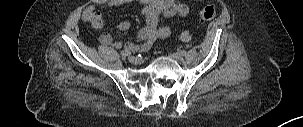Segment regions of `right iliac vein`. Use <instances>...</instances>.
Returning a JSON list of instances; mask_svg holds the SVG:
<instances>
[{
  "mask_svg": "<svg viewBox=\"0 0 303 127\" xmlns=\"http://www.w3.org/2000/svg\"><path fill=\"white\" fill-rule=\"evenodd\" d=\"M129 62L133 63V64H139L140 63V59L136 56H130L128 57Z\"/></svg>",
  "mask_w": 303,
  "mask_h": 127,
  "instance_id": "right-iliac-vein-1",
  "label": "right iliac vein"
}]
</instances>
